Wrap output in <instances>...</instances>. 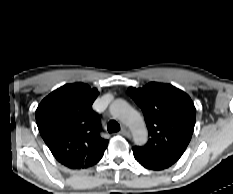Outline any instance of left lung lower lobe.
Instances as JSON below:
<instances>
[{
    "label": "left lung lower lobe",
    "instance_id": "left-lung-lower-lobe-1",
    "mask_svg": "<svg viewBox=\"0 0 233 194\" xmlns=\"http://www.w3.org/2000/svg\"><path fill=\"white\" fill-rule=\"evenodd\" d=\"M134 157L142 166L148 169H152V170H162L174 164L171 161L151 159V158L142 156L136 152H134Z\"/></svg>",
    "mask_w": 233,
    "mask_h": 194
}]
</instances>
